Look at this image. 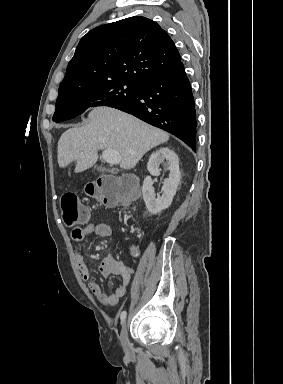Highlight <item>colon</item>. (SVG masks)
<instances>
[{
    "label": "colon",
    "instance_id": "colon-1",
    "mask_svg": "<svg viewBox=\"0 0 283 384\" xmlns=\"http://www.w3.org/2000/svg\"><path fill=\"white\" fill-rule=\"evenodd\" d=\"M133 186L134 181L131 178L105 176L87 184L85 191L105 206H116L130 197ZM61 209L63 223L69 228L85 223L89 218L88 211L79 204L74 193L62 196Z\"/></svg>",
    "mask_w": 283,
    "mask_h": 384
}]
</instances>
